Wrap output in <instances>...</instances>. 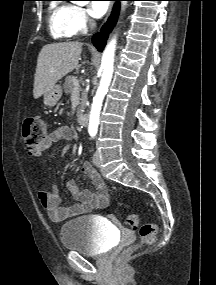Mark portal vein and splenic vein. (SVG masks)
<instances>
[{
  "instance_id": "18ae733b",
  "label": "portal vein and splenic vein",
  "mask_w": 216,
  "mask_h": 285,
  "mask_svg": "<svg viewBox=\"0 0 216 285\" xmlns=\"http://www.w3.org/2000/svg\"><path fill=\"white\" fill-rule=\"evenodd\" d=\"M79 89V81L78 80H74V88L73 91H77Z\"/></svg>"
}]
</instances>
